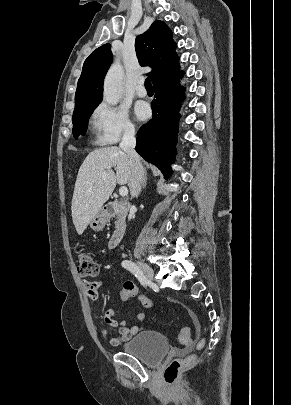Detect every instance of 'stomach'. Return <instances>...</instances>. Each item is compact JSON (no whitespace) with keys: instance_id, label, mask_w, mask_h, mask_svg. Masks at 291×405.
<instances>
[{"instance_id":"stomach-1","label":"stomach","mask_w":291,"mask_h":405,"mask_svg":"<svg viewBox=\"0 0 291 405\" xmlns=\"http://www.w3.org/2000/svg\"><path fill=\"white\" fill-rule=\"evenodd\" d=\"M110 219V213L102 208L91 220L90 227L94 231H101Z\"/></svg>"}]
</instances>
